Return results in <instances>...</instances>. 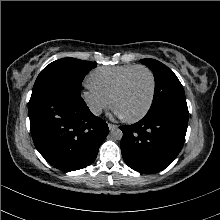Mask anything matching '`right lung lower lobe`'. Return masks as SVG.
<instances>
[{"instance_id": "right-lung-lower-lobe-1", "label": "right lung lower lobe", "mask_w": 220, "mask_h": 220, "mask_svg": "<svg viewBox=\"0 0 220 220\" xmlns=\"http://www.w3.org/2000/svg\"><path fill=\"white\" fill-rule=\"evenodd\" d=\"M29 118L34 144L57 169L74 171L90 165L109 133L81 96L61 89L32 92Z\"/></svg>"}]
</instances>
